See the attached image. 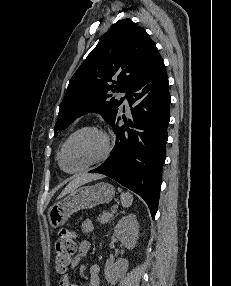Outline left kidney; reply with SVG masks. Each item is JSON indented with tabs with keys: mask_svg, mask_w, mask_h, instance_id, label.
I'll return each mask as SVG.
<instances>
[{
	"mask_svg": "<svg viewBox=\"0 0 231 286\" xmlns=\"http://www.w3.org/2000/svg\"><path fill=\"white\" fill-rule=\"evenodd\" d=\"M114 233L127 249H133L137 243L139 233V223L136 215L129 214L122 217L115 226ZM128 266L127 259H118L116 262L108 259L104 268L105 279L111 285H115L126 273Z\"/></svg>",
	"mask_w": 231,
	"mask_h": 286,
	"instance_id": "1",
	"label": "left kidney"
}]
</instances>
